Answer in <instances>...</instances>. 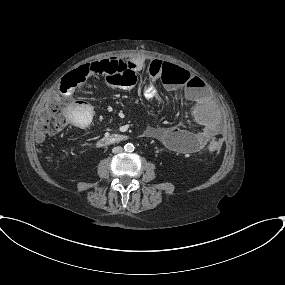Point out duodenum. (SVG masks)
Listing matches in <instances>:
<instances>
[{
    "label": "duodenum",
    "instance_id": "obj_1",
    "mask_svg": "<svg viewBox=\"0 0 285 285\" xmlns=\"http://www.w3.org/2000/svg\"><path fill=\"white\" fill-rule=\"evenodd\" d=\"M129 139L128 136L122 135V134H118V133H113V134H109L107 136L102 137L101 139H99L97 141V146L102 147L106 144H113V143H117V142H124L127 141Z\"/></svg>",
    "mask_w": 285,
    "mask_h": 285
}]
</instances>
